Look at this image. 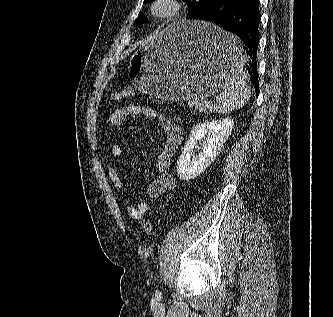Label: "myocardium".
Instances as JSON below:
<instances>
[{"mask_svg":"<svg viewBox=\"0 0 333 317\" xmlns=\"http://www.w3.org/2000/svg\"><path fill=\"white\" fill-rule=\"evenodd\" d=\"M182 9L180 0H153L149 7L150 15L161 21L172 20Z\"/></svg>","mask_w":333,"mask_h":317,"instance_id":"obj_1","label":"myocardium"}]
</instances>
